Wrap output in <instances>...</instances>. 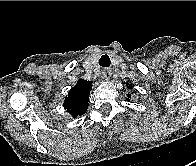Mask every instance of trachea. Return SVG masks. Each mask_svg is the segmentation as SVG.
Masks as SVG:
<instances>
[{"label":"trachea","instance_id":"obj_1","mask_svg":"<svg viewBox=\"0 0 196 166\" xmlns=\"http://www.w3.org/2000/svg\"><path fill=\"white\" fill-rule=\"evenodd\" d=\"M99 65L101 67H109L110 66V58L108 55H102L99 59Z\"/></svg>","mask_w":196,"mask_h":166}]
</instances>
